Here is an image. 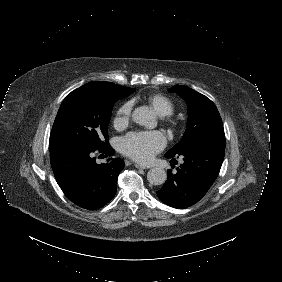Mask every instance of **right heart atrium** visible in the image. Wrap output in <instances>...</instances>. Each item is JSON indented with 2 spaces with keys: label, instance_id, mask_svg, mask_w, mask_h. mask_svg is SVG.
<instances>
[{
  "label": "right heart atrium",
  "instance_id": "right-heart-atrium-1",
  "mask_svg": "<svg viewBox=\"0 0 282 282\" xmlns=\"http://www.w3.org/2000/svg\"><path fill=\"white\" fill-rule=\"evenodd\" d=\"M130 111V105L126 104L122 106L118 111L117 117L115 118V124L122 125L123 123H126L128 121Z\"/></svg>",
  "mask_w": 282,
  "mask_h": 282
}]
</instances>
